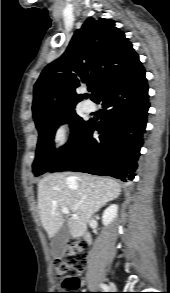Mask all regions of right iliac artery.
<instances>
[{"label":"right iliac artery","instance_id":"obj_1","mask_svg":"<svg viewBox=\"0 0 170 293\" xmlns=\"http://www.w3.org/2000/svg\"><path fill=\"white\" fill-rule=\"evenodd\" d=\"M100 287H101V289H102L104 292H108V291H109V287H108L106 284H101Z\"/></svg>","mask_w":170,"mask_h":293}]
</instances>
